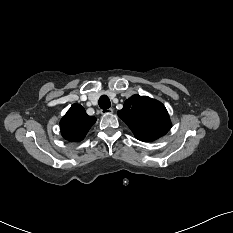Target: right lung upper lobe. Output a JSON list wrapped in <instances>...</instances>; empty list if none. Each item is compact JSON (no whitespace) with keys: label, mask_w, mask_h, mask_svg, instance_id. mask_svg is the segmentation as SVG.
Segmentation results:
<instances>
[{"label":"right lung upper lobe","mask_w":233,"mask_h":233,"mask_svg":"<svg viewBox=\"0 0 233 233\" xmlns=\"http://www.w3.org/2000/svg\"><path fill=\"white\" fill-rule=\"evenodd\" d=\"M96 118L88 116L79 104H73L60 121L62 136L74 142L83 140Z\"/></svg>","instance_id":"right-lung-upper-lobe-1"}]
</instances>
